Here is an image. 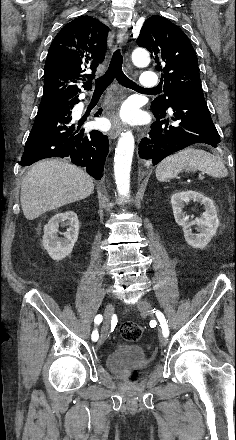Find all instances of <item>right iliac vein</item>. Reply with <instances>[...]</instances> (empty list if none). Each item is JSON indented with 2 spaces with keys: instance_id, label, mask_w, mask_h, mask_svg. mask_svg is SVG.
<instances>
[{
  "instance_id": "right-iliac-vein-1",
  "label": "right iliac vein",
  "mask_w": 236,
  "mask_h": 440,
  "mask_svg": "<svg viewBox=\"0 0 236 440\" xmlns=\"http://www.w3.org/2000/svg\"><path fill=\"white\" fill-rule=\"evenodd\" d=\"M113 312H114V305L112 303H108L105 306V310H104V321L101 329L99 344H102L105 341Z\"/></svg>"
}]
</instances>
